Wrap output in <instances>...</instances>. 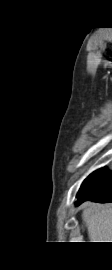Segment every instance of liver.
<instances>
[{
    "label": "liver",
    "instance_id": "1",
    "mask_svg": "<svg viewBox=\"0 0 112 270\" xmlns=\"http://www.w3.org/2000/svg\"><path fill=\"white\" fill-rule=\"evenodd\" d=\"M82 217L90 242H112V205L88 204Z\"/></svg>",
    "mask_w": 112,
    "mask_h": 270
}]
</instances>
